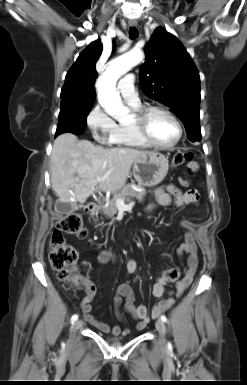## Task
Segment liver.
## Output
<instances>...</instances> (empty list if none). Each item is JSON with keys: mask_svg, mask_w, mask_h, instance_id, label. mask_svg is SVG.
Listing matches in <instances>:
<instances>
[{"mask_svg": "<svg viewBox=\"0 0 247 385\" xmlns=\"http://www.w3.org/2000/svg\"><path fill=\"white\" fill-rule=\"evenodd\" d=\"M132 148H104L72 133L59 135L51 153V187L64 203L80 202L100 191L121 189L133 162L146 154ZM97 176L105 177L98 181Z\"/></svg>", "mask_w": 247, "mask_h": 385, "instance_id": "obj_1", "label": "liver"}]
</instances>
